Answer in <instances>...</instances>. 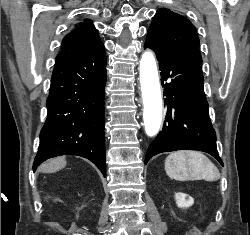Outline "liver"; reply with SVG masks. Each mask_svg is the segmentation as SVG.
<instances>
[{"instance_id": "obj_1", "label": "liver", "mask_w": 250, "mask_h": 235, "mask_svg": "<svg viewBox=\"0 0 250 235\" xmlns=\"http://www.w3.org/2000/svg\"><path fill=\"white\" fill-rule=\"evenodd\" d=\"M65 166H66L65 158L59 157L42 164L39 168V171L43 173H54L56 171L63 169Z\"/></svg>"}]
</instances>
